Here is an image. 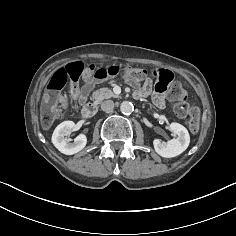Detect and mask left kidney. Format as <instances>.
<instances>
[{
	"label": "left kidney",
	"mask_w": 236,
	"mask_h": 236,
	"mask_svg": "<svg viewBox=\"0 0 236 236\" xmlns=\"http://www.w3.org/2000/svg\"><path fill=\"white\" fill-rule=\"evenodd\" d=\"M170 131L177 137L166 142H161L159 139L153 141L155 151L162 157L172 158L184 152L190 143L188 130L179 123H171Z\"/></svg>",
	"instance_id": "1"
}]
</instances>
